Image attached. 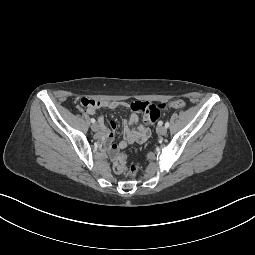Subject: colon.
Masks as SVG:
<instances>
[{"instance_id": "5ec220e1", "label": "colon", "mask_w": 255, "mask_h": 255, "mask_svg": "<svg viewBox=\"0 0 255 255\" xmlns=\"http://www.w3.org/2000/svg\"><path fill=\"white\" fill-rule=\"evenodd\" d=\"M76 103H80L86 107L97 105V101L90 98H82L80 100H76ZM171 107L176 109H182L186 106V103L182 99L172 100L170 102ZM114 153V162L113 169L117 174H126L128 176H135L138 173V169L136 166L131 165L127 166L126 162V154L124 151L116 150Z\"/></svg>"}]
</instances>
